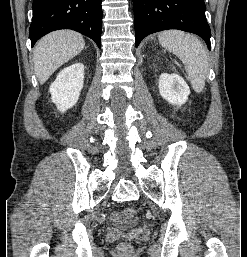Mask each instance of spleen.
<instances>
[{
	"label": "spleen",
	"mask_w": 247,
	"mask_h": 257,
	"mask_svg": "<svg viewBox=\"0 0 247 257\" xmlns=\"http://www.w3.org/2000/svg\"><path fill=\"white\" fill-rule=\"evenodd\" d=\"M160 44L177 55L185 65L193 89L200 93L205 86L208 59L203 44L193 35L170 30L159 34Z\"/></svg>",
	"instance_id": "spleen-1"
}]
</instances>
